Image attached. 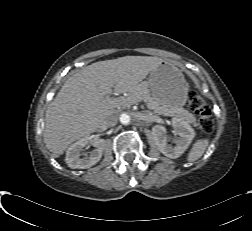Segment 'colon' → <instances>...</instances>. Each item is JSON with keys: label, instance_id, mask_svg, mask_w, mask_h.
Wrapping results in <instances>:
<instances>
[{"label": "colon", "instance_id": "1", "mask_svg": "<svg viewBox=\"0 0 252 231\" xmlns=\"http://www.w3.org/2000/svg\"><path fill=\"white\" fill-rule=\"evenodd\" d=\"M189 109L197 116L201 130L211 133L214 129V119L206 102L196 92L188 94Z\"/></svg>", "mask_w": 252, "mask_h": 231}]
</instances>
